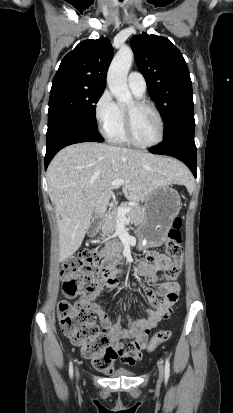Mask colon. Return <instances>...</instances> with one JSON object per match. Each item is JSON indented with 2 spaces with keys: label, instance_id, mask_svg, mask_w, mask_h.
<instances>
[{
  "label": "colon",
  "instance_id": "obj_1",
  "mask_svg": "<svg viewBox=\"0 0 233 413\" xmlns=\"http://www.w3.org/2000/svg\"><path fill=\"white\" fill-rule=\"evenodd\" d=\"M182 219L176 218L168 231L166 253L172 259L165 272L152 280L173 281L180 274L183 263ZM114 275L112 260H102L92 249H83L75 257L66 260L61 269L63 291L68 297L81 295L83 298L74 304L62 301L58 306V318L61 329L75 345L81 346L82 353L90 359L98 370L110 373L117 357L108 335L101 333L93 311L85 300L92 296L103 279ZM170 330L158 331L147 346L148 351L155 350L160 344L170 339Z\"/></svg>",
  "mask_w": 233,
  "mask_h": 413
}]
</instances>
